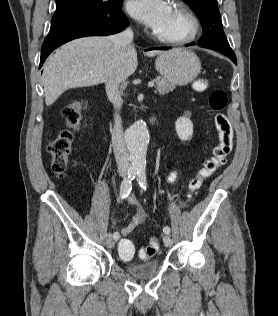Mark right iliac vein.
<instances>
[{"label": "right iliac vein", "instance_id": "63e3f726", "mask_svg": "<svg viewBox=\"0 0 278 316\" xmlns=\"http://www.w3.org/2000/svg\"><path fill=\"white\" fill-rule=\"evenodd\" d=\"M106 244H107L108 248H113L115 246V239L112 237L111 234H109L107 236Z\"/></svg>", "mask_w": 278, "mask_h": 316}]
</instances>
